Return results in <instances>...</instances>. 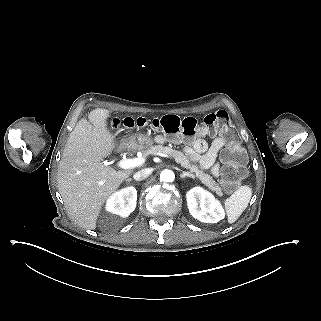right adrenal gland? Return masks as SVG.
Returning a JSON list of instances; mask_svg holds the SVG:
<instances>
[{"instance_id": "obj_1", "label": "right adrenal gland", "mask_w": 321, "mask_h": 321, "mask_svg": "<svg viewBox=\"0 0 321 321\" xmlns=\"http://www.w3.org/2000/svg\"><path fill=\"white\" fill-rule=\"evenodd\" d=\"M126 182H132V178L126 179Z\"/></svg>"}]
</instances>
